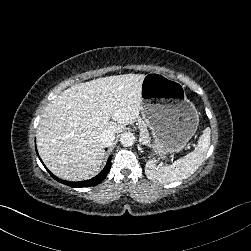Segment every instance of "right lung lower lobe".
Instances as JSON below:
<instances>
[{"instance_id": "obj_1", "label": "right lung lower lobe", "mask_w": 251, "mask_h": 251, "mask_svg": "<svg viewBox=\"0 0 251 251\" xmlns=\"http://www.w3.org/2000/svg\"><path fill=\"white\" fill-rule=\"evenodd\" d=\"M110 160H111V158L108 159L107 164H106L105 168L103 169V171H101L96 177H94L90 180H87V181H80V182L64 181V180H61V179L57 178L56 176H54L51 172H49V171L48 172L55 180L65 184V185H68L71 187H90V186H95V185L101 183L106 178V176L111 168V161Z\"/></svg>"}]
</instances>
